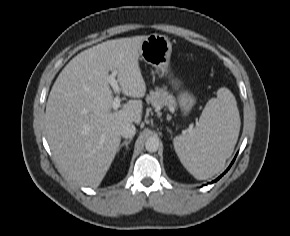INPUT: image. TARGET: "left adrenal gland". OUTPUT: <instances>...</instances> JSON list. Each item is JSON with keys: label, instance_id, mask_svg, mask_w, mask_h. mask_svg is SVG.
<instances>
[{"label": "left adrenal gland", "instance_id": "obj_1", "mask_svg": "<svg viewBox=\"0 0 290 236\" xmlns=\"http://www.w3.org/2000/svg\"><path fill=\"white\" fill-rule=\"evenodd\" d=\"M167 130H168L170 133H172V131H171L169 128H167Z\"/></svg>", "mask_w": 290, "mask_h": 236}]
</instances>
